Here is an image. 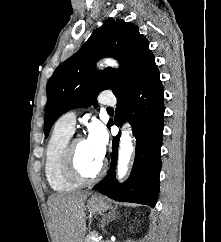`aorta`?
Here are the masks:
<instances>
[{
    "mask_svg": "<svg viewBox=\"0 0 221 242\" xmlns=\"http://www.w3.org/2000/svg\"><path fill=\"white\" fill-rule=\"evenodd\" d=\"M104 64L111 67H118L117 62L112 59H106L104 61ZM101 66L103 65L101 64ZM133 150H134V147L132 144V139L130 137V132L124 129L122 130V135L120 138V145H119L118 169H117V175L119 179H122L128 171V165H129Z\"/></svg>",
    "mask_w": 221,
    "mask_h": 242,
    "instance_id": "aorta-1",
    "label": "aorta"
}]
</instances>
